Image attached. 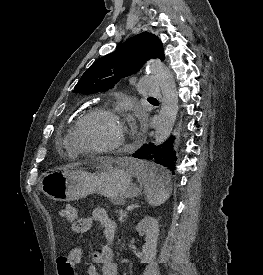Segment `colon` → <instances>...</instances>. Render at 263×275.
<instances>
[{"mask_svg": "<svg viewBox=\"0 0 263 275\" xmlns=\"http://www.w3.org/2000/svg\"><path fill=\"white\" fill-rule=\"evenodd\" d=\"M62 216L74 222L78 219V211L74 206L67 205L62 210ZM82 252L80 249H73L69 254L57 258L59 275H74V267L81 261Z\"/></svg>", "mask_w": 263, "mask_h": 275, "instance_id": "5ec220e1", "label": "colon"}]
</instances>
